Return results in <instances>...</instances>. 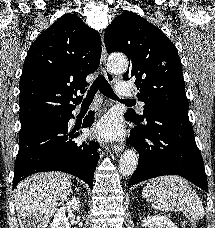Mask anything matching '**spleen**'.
Listing matches in <instances>:
<instances>
[{
  "mask_svg": "<svg viewBox=\"0 0 215 228\" xmlns=\"http://www.w3.org/2000/svg\"><path fill=\"white\" fill-rule=\"evenodd\" d=\"M142 196L155 210H180L187 220L197 222L204 218V206L189 182L179 176H160L149 180Z\"/></svg>",
  "mask_w": 215,
  "mask_h": 228,
  "instance_id": "3e777b00",
  "label": "spleen"
}]
</instances>
